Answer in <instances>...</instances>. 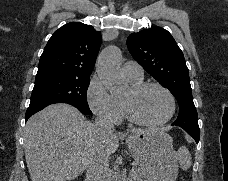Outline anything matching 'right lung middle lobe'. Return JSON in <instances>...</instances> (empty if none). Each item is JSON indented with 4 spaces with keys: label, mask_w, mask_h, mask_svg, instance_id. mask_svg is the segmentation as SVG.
<instances>
[{
    "label": "right lung middle lobe",
    "mask_w": 228,
    "mask_h": 181,
    "mask_svg": "<svg viewBox=\"0 0 228 181\" xmlns=\"http://www.w3.org/2000/svg\"><path fill=\"white\" fill-rule=\"evenodd\" d=\"M90 78H75L64 75L36 77L29 107L68 103L82 114L91 115L86 93Z\"/></svg>",
    "instance_id": "obj_1"
}]
</instances>
